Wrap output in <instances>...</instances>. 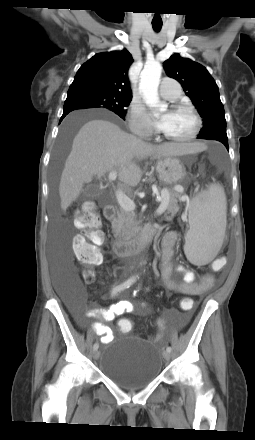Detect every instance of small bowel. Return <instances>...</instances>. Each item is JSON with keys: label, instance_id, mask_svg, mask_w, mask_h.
Returning a JSON list of instances; mask_svg holds the SVG:
<instances>
[{"label": "small bowel", "instance_id": "obj_1", "mask_svg": "<svg viewBox=\"0 0 255 440\" xmlns=\"http://www.w3.org/2000/svg\"><path fill=\"white\" fill-rule=\"evenodd\" d=\"M178 240L176 231L167 232L162 240V264H161V280L167 290L180 293L186 296H201L213 286L212 278L197 280L194 272L186 269L182 265L173 266L172 256L174 254V246ZM182 274L181 279L173 277V270ZM145 304H133L129 301H119L109 308H92L85 311L87 317L98 318L99 322L92 325L94 333L100 337L102 343H107L113 339L111 328L105 323L110 322L117 317L127 313H145ZM80 323H83L81 316L77 317Z\"/></svg>", "mask_w": 255, "mask_h": 440}]
</instances>
